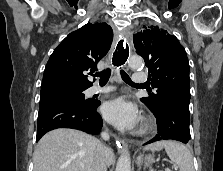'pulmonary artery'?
<instances>
[{
    "instance_id": "obj_1",
    "label": "pulmonary artery",
    "mask_w": 223,
    "mask_h": 171,
    "mask_svg": "<svg viewBox=\"0 0 223 171\" xmlns=\"http://www.w3.org/2000/svg\"><path fill=\"white\" fill-rule=\"evenodd\" d=\"M146 79H147L146 75L143 72H136L133 75V81L136 84H143L146 81ZM111 90H112V88H108V87L101 88L99 86H92L89 89V93L90 94L106 93V92H109Z\"/></svg>"
}]
</instances>
